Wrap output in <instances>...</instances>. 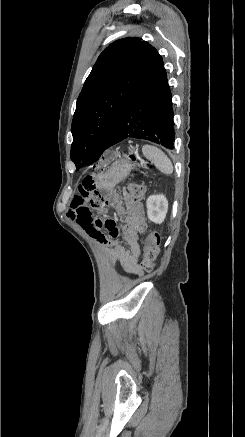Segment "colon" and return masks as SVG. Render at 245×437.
<instances>
[{
  "instance_id": "colon-1",
  "label": "colon",
  "mask_w": 245,
  "mask_h": 437,
  "mask_svg": "<svg viewBox=\"0 0 245 437\" xmlns=\"http://www.w3.org/2000/svg\"><path fill=\"white\" fill-rule=\"evenodd\" d=\"M131 159L135 161L136 157L131 155ZM128 193L134 202H138L143 198L145 189L140 184H130L128 186ZM159 241V234L156 231H151L148 235L147 245L144 250V257L141 263V268L144 271L149 272L154 269L155 261L159 253Z\"/></svg>"
}]
</instances>
